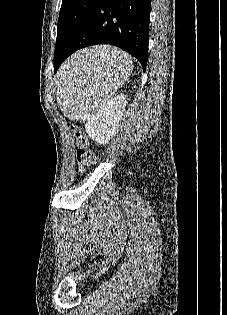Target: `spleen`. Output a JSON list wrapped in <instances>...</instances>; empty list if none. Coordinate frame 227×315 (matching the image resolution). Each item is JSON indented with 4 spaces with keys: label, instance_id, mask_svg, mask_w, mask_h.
<instances>
[{
    "label": "spleen",
    "instance_id": "1",
    "mask_svg": "<svg viewBox=\"0 0 227 315\" xmlns=\"http://www.w3.org/2000/svg\"><path fill=\"white\" fill-rule=\"evenodd\" d=\"M131 57L115 47L83 49L68 59L56 82L57 101L68 118L89 120L128 79Z\"/></svg>",
    "mask_w": 227,
    "mask_h": 315
}]
</instances>
